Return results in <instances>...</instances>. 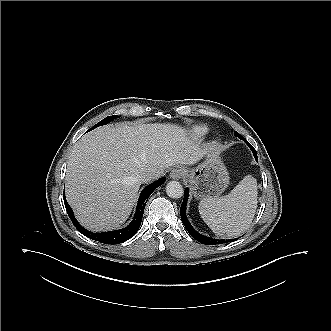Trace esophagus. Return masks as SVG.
Returning <instances> with one entry per match:
<instances>
[{
  "label": "esophagus",
  "mask_w": 331,
  "mask_h": 331,
  "mask_svg": "<svg viewBox=\"0 0 331 331\" xmlns=\"http://www.w3.org/2000/svg\"><path fill=\"white\" fill-rule=\"evenodd\" d=\"M183 174H184L183 169L180 167H176L171 171L170 177L172 179H180L183 176Z\"/></svg>",
  "instance_id": "34e87169"
}]
</instances>
